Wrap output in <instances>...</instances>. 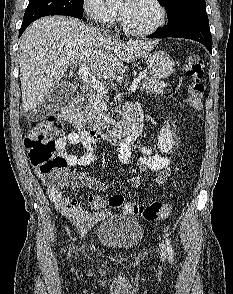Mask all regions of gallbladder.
<instances>
[{"instance_id":"1","label":"gallbladder","mask_w":233,"mask_h":294,"mask_svg":"<svg viewBox=\"0 0 233 294\" xmlns=\"http://www.w3.org/2000/svg\"><path fill=\"white\" fill-rule=\"evenodd\" d=\"M71 93L72 91L63 81L53 86L49 96L42 103L43 112L50 113L57 110L69 99Z\"/></svg>"}]
</instances>
